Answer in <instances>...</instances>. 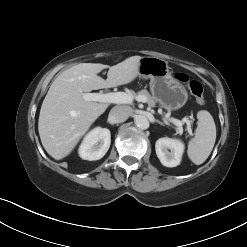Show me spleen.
<instances>
[{
  "label": "spleen",
  "mask_w": 247,
  "mask_h": 247,
  "mask_svg": "<svg viewBox=\"0 0 247 247\" xmlns=\"http://www.w3.org/2000/svg\"><path fill=\"white\" fill-rule=\"evenodd\" d=\"M198 126L195 136L189 141L188 156L190 160L200 165L209 157L216 140V126L211 114L202 110L197 113Z\"/></svg>",
  "instance_id": "3e777b00"
}]
</instances>
